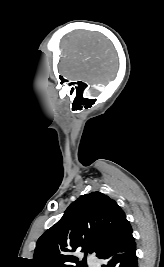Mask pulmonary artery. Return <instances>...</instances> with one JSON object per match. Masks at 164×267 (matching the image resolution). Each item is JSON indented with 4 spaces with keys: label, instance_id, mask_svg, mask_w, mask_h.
Wrapping results in <instances>:
<instances>
[{
    "label": "pulmonary artery",
    "instance_id": "e3ab8cb5",
    "mask_svg": "<svg viewBox=\"0 0 164 267\" xmlns=\"http://www.w3.org/2000/svg\"><path fill=\"white\" fill-rule=\"evenodd\" d=\"M89 264L92 266V267H99V264L96 260L94 259H89Z\"/></svg>",
    "mask_w": 164,
    "mask_h": 267
}]
</instances>
